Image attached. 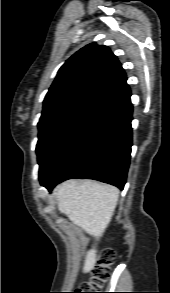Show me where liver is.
<instances>
[{"mask_svg": "<svg viewBox=\"0 0 170 293\" xmlns=\"http://www.w3.org/2000/svg\"><path fill=\"white\" fill-rule=\"evenodd\" d=\"M60 212L69 220L81 227L96 241L103 236L111 222L118 198L119 190L111 185L86 180H68L60 184L53 193ZM96 245L85 257L83 272L91 271L96 262Z\"/></svg>", "mask_w": 170, "mask_h": 293, "instance_id": "6515ba94", "label": "liver"}]
</instances>
